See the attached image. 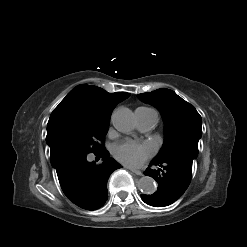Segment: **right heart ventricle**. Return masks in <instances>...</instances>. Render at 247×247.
Here are the masks:
<instances>
[{"label":"right heart ventricle","instance_id":"obj_1","mask_svg":"<svg viewBox=\"0 0 247 247\" xmlns=\"http://www.w3.org/2000/svg\"><path fill=\"white\" fill-rule=\"evenodd\" d=\"M141 108H143V109H149V108H145V107H141ZM149 110H152V109H149Z\"/></svg>","mask_w":247,"mask_h":247}]
</instances>
